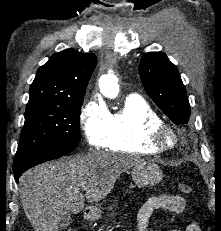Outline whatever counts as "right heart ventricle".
<instances>
[{
  "label": "right heart ventricle",
  "mask_w": 221,
  "mask_h": 231,
  "mask_svg": "<svg viewBox=\"0 0 221 231\" xmlns=\"http://www.w3.org/2000/svg\"><path fill=\"white\" fill-rule=\"evenodd\" d=\"M162 122L160 116L143 98L128 96L121 107L110 115L109 129L104 147L111 151L157 154L147 144L148 127Z\"/></svg>",
  "instance_id": "1"
}]
</instances>
